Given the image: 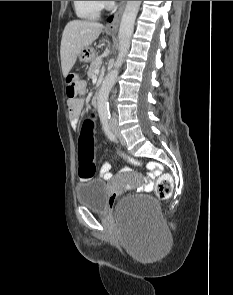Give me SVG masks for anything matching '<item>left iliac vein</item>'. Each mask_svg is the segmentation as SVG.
Masks as SVG:
<instances>
[{"label": "left iliac vein", "instance_id": "1", "mask_svg": "<svg viewBox=\"0 0 233 295\" xmlns=\"http://www.w3.org/2000/svg\"><path fill=\"white\" fill-rule=\"evenodd\" d=\"M114 131H115V134L117 135V137H118L120 143H121L122 145H125V144H126L125 139H124V137L120 134V132H119V130L117 129V127H114Z\"/></svg>", "mask_w": 233, "mask_h": 295}]
</instances>
